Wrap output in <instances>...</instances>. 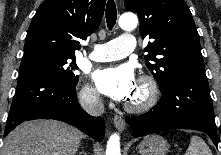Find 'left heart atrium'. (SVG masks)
Instances as JSON below:
<instances>
[{"label": "left heart atrium", "instance_id": "1", "mask_svg": "<svg viewBox=\"0 0 221 155\" xmlns=\"http://www.w3.org/2000/svg\"><path fill=\"white\" fill-rule=\"evenodd\" d=\"M93 79L101 93L117 101H128L137 87L134 72L126 65L98 70Z\"/></svg>", "mask_w": 221, "mask_h": 155}]
</instances>
